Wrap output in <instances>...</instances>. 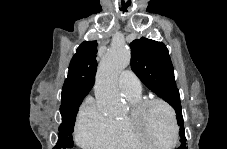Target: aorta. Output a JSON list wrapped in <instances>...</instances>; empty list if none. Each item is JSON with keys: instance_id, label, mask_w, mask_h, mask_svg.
<instances>
[{"instance_id": "obj_1", "label": "aorta", "mask_w": 227, "mask_h": 149, "mask_svg": "<svg viewBox=\"0 0 227 149\" xmlns=\"http://www.w3.org/2000/svg\"><path fill=\"white\" fill-rule=\"evenodd\" d=\"M130 63V51L124 43H115L103 57L96 75L94 94L98 109L105 115H117L122 98L117 86L119 74Z\"/></svg>"}]
</instances>
